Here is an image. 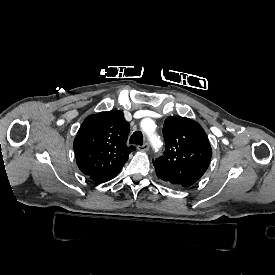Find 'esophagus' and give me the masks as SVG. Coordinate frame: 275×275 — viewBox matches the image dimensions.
Masks as SVG:
<instances>
[{
	"instance_id": "1",
	"label": "esophagus",
	"mask_w": 275,
	"mask_h": 275,
	"mask_svg": "<svg viewBox=\"0 0 275 275\" xmlns=\"http://www.w3.org/2000/svg\"><path fill=\"white\" fill-rule=\"evenodd\" d=\"M137 149L139 151H142V152H145V151H148L149 150V143L148 142H145L143 145H139L137 147Z\"/></svg>"
}]
</instances>
